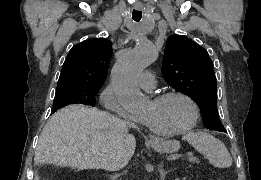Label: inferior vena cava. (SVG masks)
Instances as JSON below:
<instances>
[{
  "label": "inferior vena cava",
  "mask_w": 261,
  "mask_h": 180,
  "mask_svg": "<svg viewBox=\"0 0 261 180\" xmlns=\"http://www.w3.org/2000/svg\"><path fill=\"white\" fill-rule=\"evenodd\" d=\"M127 130H128V128H127ZM129 160H131V158H129V156H123V158H120V160H117L118 168H124V166H127Z\"/></svg>",
  "instance_id": "inferior-vena-cava-1"
}]
</instances>
